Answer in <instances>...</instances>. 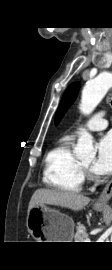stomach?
<instances>
[{"label":"stomach","mask_w":112,"mask_h":270,"mask_svg":"<svg viewBox=\"0 0 112 270\" xmlns=\"http://www.w3.org/2000/svg\"><path fill=\"white\" fill-rule=\"evenodd\" d=\"M94 209L101 211L103 207L94 206ZM26 225L37 242H72V218L46 204L36 205L28 212Z\"/></svg>","instance_id":"1"}]
</instances>
